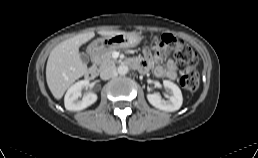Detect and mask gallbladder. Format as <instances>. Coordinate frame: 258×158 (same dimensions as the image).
I'll list each match as a JSON object with an SVG mask.
<instances>
[{
	"label": "gallbladder",
	"mask_w": 258,
	"mask_h": 158,
	"mask_svg": "<svg viewBox=\"0 0 258 158\" xmlns=\"http://www.w3.org/2000/svg\"><path fill=\"white\" fill-rule=\"evenodd\" d=\"M80 58H81V60L83 61V63H88V62H89V57H88V55H87L86 53H84V52H81V53H80Z\"/></svg>",
	"instance_id": "obj_1"
}]
</instances>
